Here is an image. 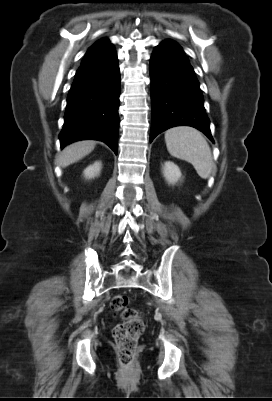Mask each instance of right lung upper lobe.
Instances as JSON below:
<instances>
[{
  "label": "right lung upper lobe",
  "mask_w": 272,
  "mask_h": 401,
  "mask_svg": "<svg viewBox=\"0 0 272 401\" xmlns=\"http://www.w3.org/2000/svg\"><path fill=\"white\" fill-rule=\"evenodd\" d=\"M111 45L109 40L106 38H103L99 41H97L95 44H93L87 51V53L85 54V58H88L89 56H92L93 54L103 50L105 47Z\"/></svg>",
  "instance_id": "right-lung-upper-lobe-1"
}]
</instances>
